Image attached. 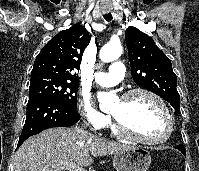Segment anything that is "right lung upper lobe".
I'll return each mask as SVG.
<instances>
[{
	"label": "right lung upper lobe",
	"instance_id": "1",
	"mask_svg": "<svg viewBox=\"0 0 199 171\" xmlns=\"http://www.w3.org/2000/svg\"><path fill=\"white\" fill-rule=\"evenodd\" d=\"M91 36L81 25H74L54 36L37 55L31 77L51 76L79 83L76 71Z\"/></svg>",
	"mask_w": 199,
	"mask_h": 171
}]
</instances>
